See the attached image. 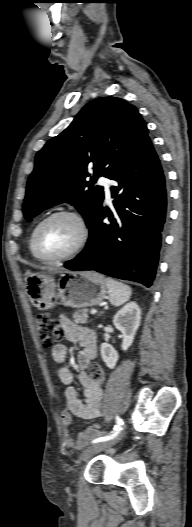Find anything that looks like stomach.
<instances>
[{"label": "stomach", "mask_w": 192, "mask_h": 527, "mask_svg": "<svg viewBox=\"0 0 192 527\" xmlns=\"http://www.w3.org/2000/svg\"><path fill=\"white\" fill-rule=\"evenodd\" d=\"M26 291L32 305L49 310L58 304L73 308L95 306L106 298L107 288L102 275L93 271L65 272L56 281L44 274L26 279Z\"/></svg>", "instance_id": "1"}]
</instances>
